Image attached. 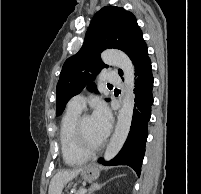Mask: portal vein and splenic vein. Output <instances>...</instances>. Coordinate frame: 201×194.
I'll return each instance as SVG.
<instances>
[{
  "instance_id": "portal-vein-and-splenic-vein-1",
  "label": "portal vein and splenic vein",
  "mask_w": 201,
  "mask_h": 194,
  "mask_svg": "<svg viewBox=\"0 0 201 194\" xmlns=\"http://www.w3.org/2000/svg\"><path fill=\"white\" fill-rule=\"evenodd\" d=\"M86 191H87L86 189H83V190H82V194H84Z\"/></svg>"
}]
</instances>
